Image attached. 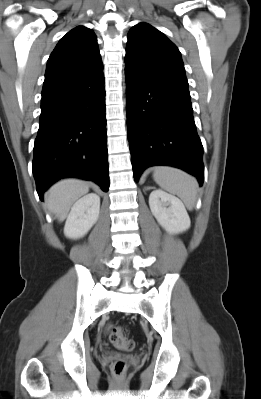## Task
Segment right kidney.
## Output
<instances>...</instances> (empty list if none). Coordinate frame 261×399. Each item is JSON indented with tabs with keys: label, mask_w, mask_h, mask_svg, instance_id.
Returning <instances> with one entry per match:
<instances>
[{
	"label": "right kidney",
	"mask_w": 261,
	"mask_h": 399,
	"mask_svg": "<svg viewBox=\"0 0 261 399\" xmlns=\"http://www.w3.org/2000/svg\"><path fill=\"white\" fill-rule=\"evenodd\" d=\"M100 197L90 193L79 199L71 208L64 226V235L70 239L83 237L97 222Z\"/></svg>",
	"instance_id": "right-kidney-1"
}]
</instances>
